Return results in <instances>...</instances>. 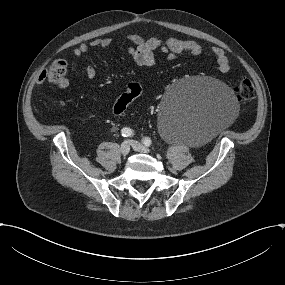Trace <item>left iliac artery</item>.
<instances>
[{"label": "left iliac artery", "mask_w": 285, "mask_h": 285, "mask_svg": "<svg viewBox=\"0 0 285 285\" xmlns=\"http://www.w3.org/2000/svg\"><path fill=\"white\" fill-rule=\"evenodd\" d=\"M143 144L146 146V147H149L152 145V140L148 137H146L144 140H143Z\"/></svg>", "instance_id": "obj_1"}]
</instances>
